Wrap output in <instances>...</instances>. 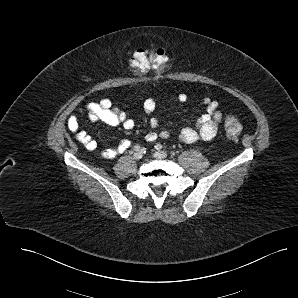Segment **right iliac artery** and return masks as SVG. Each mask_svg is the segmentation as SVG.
<instances>
[{"mask_svg": "<svg viewBox=\"0 0 298 298\" xmlns=\"http://www.w3.org/2000/svg\"><path fill=\"white\" fill-rule=\"evenodd\" d=\"M140 149H141L140 145H135V146H134V150H135V151H139Z\"/></svg>", "mask_w": 298, "mask_h": 298, "instance_id": "obj_1", "label": "right iliac artery"}]
</instances>
